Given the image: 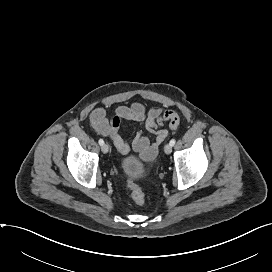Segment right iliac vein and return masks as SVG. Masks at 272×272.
Here are the masks:
<instances>
[{
  "mask_svg": "<svg viewBox=\"0 0 272 272\" xmlns=\"http://www.w3.org/2000/svg\"><path fill=\"white\" fill-rule=\"evenodd\" d=\"M101 150L103 153H108L109 151V146L107 144H103L102 147H101Z\"/></svg>",
  "mask_w": 272,
  "mask_h": 272,
  "instance_id": "obj_1",
  "label": "right iliac vein"
}]
</instances>
